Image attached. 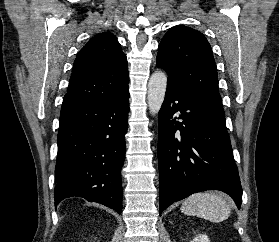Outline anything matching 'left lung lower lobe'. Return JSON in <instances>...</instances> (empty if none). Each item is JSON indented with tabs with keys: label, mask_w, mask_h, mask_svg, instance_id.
<instances>
[{
	"label": "left lung lower lobe",
	"mask_w": 279,
	"mask_h": 242,
	"mask_svg": "<svg viewBox=\"0 0 279 242\" xmlns=\"http://www.w3.org/2000/svg\"><path fill=\"white\" fill-rule=\"evenodd\" d=\"M158 122L159 214L193 193L214 189L229 194L239 208L242 187L225 118L168 78Z\"/></svg>",
	"instance_id": "left-lung-lower-lobe-1"
}]
</instances>
